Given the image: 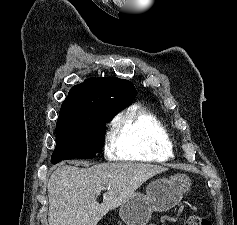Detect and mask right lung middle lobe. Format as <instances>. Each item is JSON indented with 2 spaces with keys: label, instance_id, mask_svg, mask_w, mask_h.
Returning <instances> with one entry per match:
<instances>
[{
  "label": "right lung middle lobe",
  "instance_id": "dd1d6c3e",
  "mask_svg": "<svg viewBox=\"0 0 237 225\" xmlns=\"http://www.w3.org/2000/svg\"><path fill=\"white\" fill-rule=\"evenodd\" d=\"M116 114L111 111H101L89 122L58 119L56 148L51 161L94 158L104 145L105 123L110 122Z\"/></svg>",
  "mask_w": 237,
  "mask_h": 225
}]
</instances>
